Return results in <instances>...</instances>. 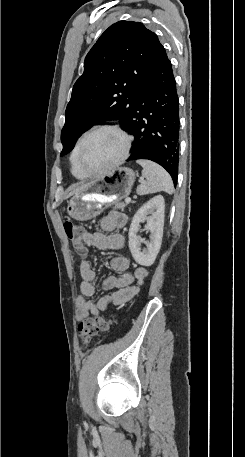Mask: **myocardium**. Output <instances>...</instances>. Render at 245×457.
Wrapping results in <instances>:
<instances>
[{
  "label": "myocardium",
  "instance_id": "f54148a6",
  "mask_svg": "<svg viewBox=\"0 0 245 457\" xmlns=\"http://www.w3.org/2000/svg\"><path fill=\"white\" fill-rule=\"evenodd\" d=\"M105 130L112 131L122 138V140H123L122 151L119 154V156L115 159V161L112 162L110 165H108L102 169L96 170V171H90L82 163V159H81L82 151L85 148L87 141L89 140V138L92 135H94L100 131H105ZM131 143H132V140H131L130 136L117 125L103 124V125L95 126L84 135V137L79 145V148H78L77 154H76L77 164H78L79 168L81 169V171L86 176H97L104 172L110 171V170L116 168L122 161H124L128 157L129 151L131 148Z\"/></svg>",
  "mask_w": 245,
  "mask_h": 457
}]
</instances>
